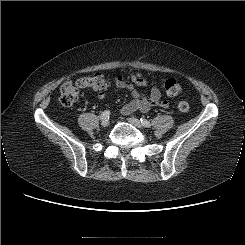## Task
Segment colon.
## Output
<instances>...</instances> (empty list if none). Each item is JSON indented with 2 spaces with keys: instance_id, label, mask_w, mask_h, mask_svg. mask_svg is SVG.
I'll use <instances>...</instances> for the list:
<instances>
[{
  "instance_id": "colon-1",
  "label": "colon",
  "mask_w": 245,
  "mask_h": 245,
  "mask_svg": "<svg viewBox=\"0 0 245 245\" xmlns=\"http://www.w3.org/2000/svg\"><path fill=\"white\" fill-rule=\"evenodd\" d=\"M108 85V78L101 73L84 76L76 81L68 80L60 88V101L64 106H70L77 101L80 89L101 91L106 89ZM159 86L168 96H178L183 91L181 84L175 79L160 81ZM178 108L182 112H187L190 105L187 101H180Z\"/></svg>"
}]
</instances>
